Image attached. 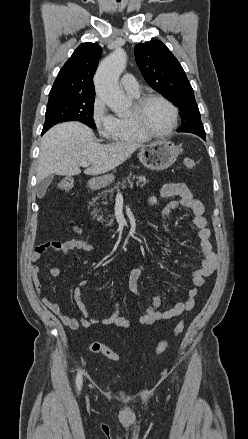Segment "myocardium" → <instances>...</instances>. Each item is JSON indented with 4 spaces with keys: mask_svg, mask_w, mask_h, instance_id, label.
I'll use <instances>...</instances> for the list:
<instances>
[{
    "mask_svg": "<svg viewBox=\"0 0 248 439\" xmlns=\"http://www.w3.org/2000/svg\"><path fill=\"white\" fill-rule=\"evenodd\" d=\"M151 100H161L162 102H164L170 109L172 112V125L171 127L162 133H157L154 132L152 130H150L144 121V110L146 105L148 104V102H150ZM130 117L132 119V122L134 124V126L144 135L148 136V137H152V138H163V137H168L170 136L175 129L177 128L178 125V109L177 107L165 96H162L160 94H146L143 95L141 97H139L133 107V110L130 114Z\"/></svg>",
    "mask_w": 248,
    "mask_h": 439,
    "instance_id": "obj_1",
    "label": "myocardium"
}]
</instances>
